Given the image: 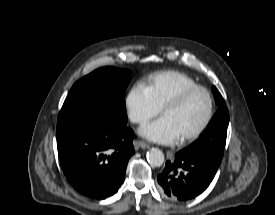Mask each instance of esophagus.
Masks as SVG:
<instances>
[{"label": "esophagus", "instance_id": "34e87169", "mask_svg": "<svg viewBox=\"0 0 275 215\" xmlns=\"http://www.w3.org/2000/svg\"><path fill=\"white\" fill-rule=\"evenodd\" d=\"M136 144H137L140 148H142V149H147V148L150 147V145H149L148 143H146V142H144V141H142V140H138V141L136 142Z\"/></svg>", "mask_w": 275, "mask_h": 215}]
</instances>
